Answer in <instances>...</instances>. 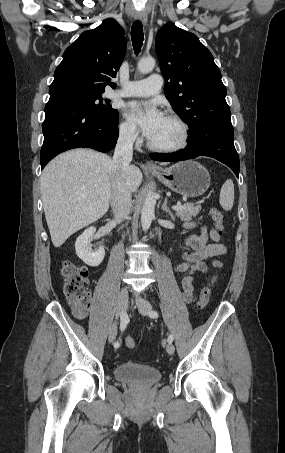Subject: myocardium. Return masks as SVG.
<instances>
[{"label":"myocardium","instance_id":"obj_1","mask_svg":"<svg viewBox=\"0 0 285 453\" xmlns=\"http://www.w3.org/2000/svg\"><path fill=\"white\" fill-rule=\"evenodd\" d=\"M165 116L176 122L181 128L182 137L180 142L172 146H160L154 144L150 139H148L147 141L148 147L153 151L161 153H176L184 150L189 145L191 137L190 127L188 123L181 116L174 112H167Z\"/></svg>","mask_w":285,"mask_h":453}]
</instances>
